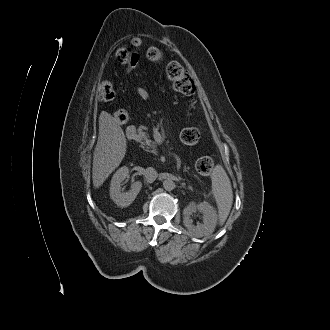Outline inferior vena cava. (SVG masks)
<instances>
[{
    "label": "inferior vena cava",
    "instance_id": "obj_1",
    "mask_svg": "<svg viewBox=\"0 0 330 330\" xmlns=\"http://www.w3.org/2000/svg\"><path fill=\"white\" fill-rule=\"evenodd\" d=\"M144 175H145L146 181L149 183L154 182L156 180V178L158 177L157 171L152 167H148L145 170Z\"/></svg>",
    "mask_w": 330,
    "mask_h": 330
}]
</instances>
